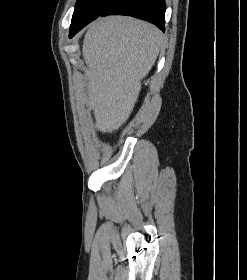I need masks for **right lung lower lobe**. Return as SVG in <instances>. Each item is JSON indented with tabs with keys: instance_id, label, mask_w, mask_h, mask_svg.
<instances>
[{
	"instance_id": "98d812e1",
	"label": "right lung lower lobe",
	"mask_w": 247,
	"mask_h": 280,
	"mask_svg": "<svg viewBox=\"0 0 247 280\" xmlns=\"http://www.w3.org/2000/svg\"><path fill=\"white\" fill-rule=\"evenodd\" d=\"M165 10V0H109L94 19L106 15H128L150 21L164 31ZM89 22L70 27L69 36L73 37Z\"/></svg>"
}]
</instances>
